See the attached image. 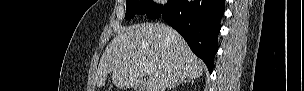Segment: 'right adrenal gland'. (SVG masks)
Returning a JSON list of instances; mask_svg holds the SVG:
<instances>
[{
	"label": "right adrenal gland",
	"instance_id": "2a0ac1e0",
	"mask_svg": "<svg viewBox=\"0 0 304 91\" xmlns=\"http://www.w3.org/2000/svg\"><path fill=\"white\" fill-rule=\"evenodd\" d=\"M183 83H191V84H193L194 81H193V80H190V79H188V80H181V81H179V82L170 84L168 88H169V89H171V88H176V87H178L180 84H183Z\"/></svg>",
	"mask_w": 304,
	"mask_h": 91
}]
</instances>
